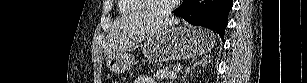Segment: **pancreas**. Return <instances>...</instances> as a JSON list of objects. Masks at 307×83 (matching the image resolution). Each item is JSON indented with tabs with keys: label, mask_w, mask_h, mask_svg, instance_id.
<instances>
[{
	"label": "pancreas",
	"mask_w": 307,
	"mask_h": 83,
	"mask_svg": "<svg viewBox=\"0 0 307 83\" xmlns=\"http://www.w3.org/2000/svg\"><path fill=\"white\" fill-rule=\"evenodd\" d=\"M173 73L169 68L158 69L155 76L158 79H168L170 74Z\"/></svg>",
	"instance_id": "pancreas-1"
}]
</instances>
